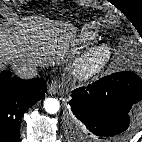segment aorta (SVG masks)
I'll use <instances>...</instances> for the list:
<instances>
[{
    "mask_svg": "<svg viewBox=\"0 0 142 142\" xmlns=\"http://www.w3.org/2000/svg\"><path fill=\"white\" fill-rule=\"evenodd\" d=\"M44 109L49 114H55L60 109V103L57 99L47 98L44 101Z\"/></svg>",
    "mask_w": 142,
    "mask_h": 142,
    "instance_id": "obj_1",
    "label": "aorta"
}]
</instances>
